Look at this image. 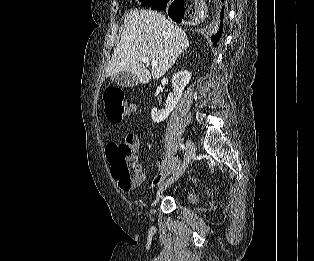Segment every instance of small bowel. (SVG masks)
<instances>
[{
	"label": "small bowel",
	"mask_w": 314,
	"mask_h": 261,
	"mask_svg": "<svg viewBox=\"0 0 314 261\" xmlns=\"http://www.w3.org/2000/svg\"><path fill=\"white\" fill-rule=\"evenodd\" d=\"M131 138L135 144V148H139V142L138 139L135 136H128ZM135 171L140 174V180L143 181L146 178V174L140 164V154L139 152H136L133 156ZM174 163V160L172 161ZM156 168L158 169L159 173L155 176V178L152 180L149 189H153L158 184H160L167 176V173L169 171V162L166 158H159L156 162Z\"/></svg>",
	"instance_id": "obj_1"
}]
</instances>
